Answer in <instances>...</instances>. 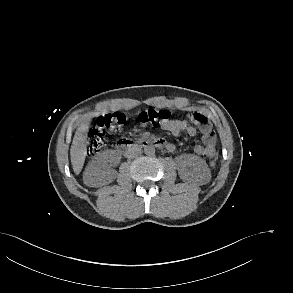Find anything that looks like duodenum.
Masks as SVG:
<instances>
[{
	"label": "duodenum",
	"instance_id": "duodenum-1",
	"mask_svg": "<svg viewBox=\"0 0 293 293\" xmlns=\"http://www.w3.org/2000/svg\"><path fill=\"white\" fill-rule=\"evenodd\" d=\"M153 146L159 149L167 147V144L161 139H147L143 142L137 143L128 138H122L116 143V150L125 156L131 155L140 147Z\"/></svg>",
	"mask_w": 293,
	"mask_h": 293
}]
</instances>
